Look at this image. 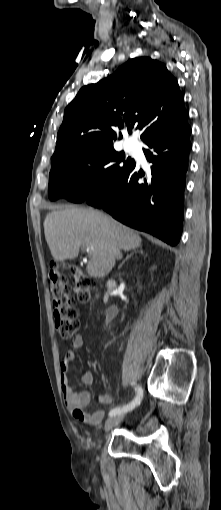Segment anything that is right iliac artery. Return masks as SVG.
I'll list each match as a JSON object with an SVG mask.
<instances>
[{"label":"right iliac artery","instance_id":"82829eb1","mask_svg":"<svg viewBox=\"0 0 221 510\" xmlns=\"http://www.w3.org/2000/svg\"><path fill=\"white\" fill-rule=\"evenodd\" d=\"M136 390V397L135 399L130 402L129 404L127 405H124L122 407H116V408H113L112 410H110L109 412V416L112 417V416H116L118 414H123V413H126L130 410H133L136 406H138L142 400V397H143V391H142V388L137 386L135 388Z\"/></svg>","mask_w":221,"mask_h":510}]
</instances>
